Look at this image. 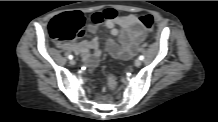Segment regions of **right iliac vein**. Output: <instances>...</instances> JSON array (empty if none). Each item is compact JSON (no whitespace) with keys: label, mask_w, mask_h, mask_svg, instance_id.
<instances>
[{"label":"right iliac vein","mask_w":218,"mask_h":122,"mask_svg":"<svg viewBox=\"0 0 218 122\" xmlns=\"http://www.w3.org/2000/svg\"><path fill=\"white\" fill-rule=\"evenodd\" d=\"M69 63H70L71 65H75V64H76V61H75V60H71Z\"/></svg>","instance_id":"right-iliac-vein-1"}]
</instances>
